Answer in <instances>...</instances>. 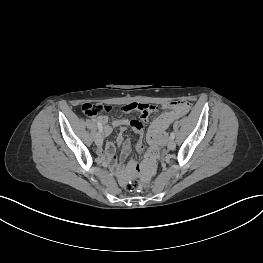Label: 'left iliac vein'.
<instances>
[{"instance_id":"4c4485c4","label":"left iliac vein","mask_w":263,"mask_h":263,"mask_svg":"<svg viewBox=\"0 0 263 263\" xmlns=\"http://www.w3.org/2000/svg\"><path fill=\"white\" fill-rule=\"evenodd\" d=\"M167 146H168V149L174 150L176 146L174 139H170Z\"/></svg>"}]
</instances>
